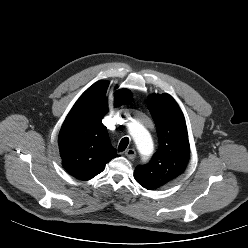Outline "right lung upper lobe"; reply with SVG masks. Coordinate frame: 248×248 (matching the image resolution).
<instances>
[{"instance_id": "obj_1", "label": "right lung upper lobe", "mask_w": 248, "mask_h": 248, "mask_svg": "<svg viewBox=\"0 0 248 248\" xmlns=\"http://www.w3.org/2000/svg\"><path fill=\"white\" fill-rule=\"evenodd\" d=\"M108 81H98L87 89L69 112L59 133L58 143L65 170L87 181L101 173L106 163L117 156L102 118L108 112ZM115 107L131 101V92H115Z\"/></svg>"}]
</instances>
